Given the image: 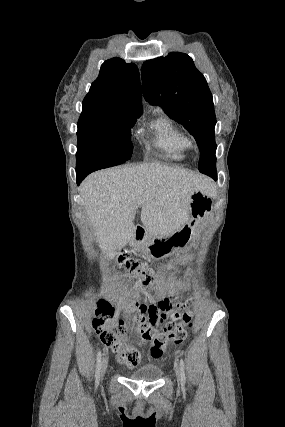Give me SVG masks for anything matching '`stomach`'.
<instances>
[{
  "instance_id": "obj_1",
  "label": "stomach",
  "mask_w": 285,
  "mask_h": 427,
  "mask_svg": "<svg viewBox=\"0 0 285 427\" xmlns=\"http://www.w3.org/2000/svg\"><path fill=\"white\" fill-rule=\"evenodd\" d=\"M213 199L201 190L194 191L190 196L189 220L172 234L149 235L136 246L153 257H163L191 242L200 223L208 218L213 211Z\"/></svg>"
}]
</instances>
